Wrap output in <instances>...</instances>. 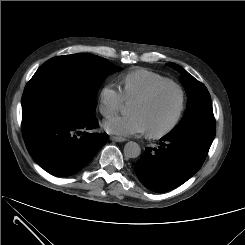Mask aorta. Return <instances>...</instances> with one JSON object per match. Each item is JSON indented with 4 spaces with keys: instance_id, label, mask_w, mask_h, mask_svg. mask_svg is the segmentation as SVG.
Returning a JSON list of instances; mask_svg holds the SVG:
<instances>
[{
    "instance_id": "obj_1",
    "label": "aorta",
    "mask_w": 245,
    "mask_h": 245,
    "mask_svg": "<svg viewBox=\"0 0 245 245\" xmlns=\"http://www.w3.org/2000/svg\"><path fill=\"white\" fill-rule=\"evenodd\" d=\"M141 153V148L138 143L129 141L124 146V155L127 158H137Z\"/></svg>"
}]
</instances>
